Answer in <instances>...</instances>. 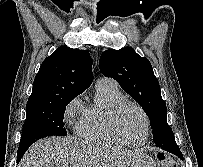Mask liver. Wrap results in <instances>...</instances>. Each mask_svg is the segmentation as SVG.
<instances>
[{"label": "liver", "instance_id": "6515ba94", "mask_svg": "<svg viewBox=\"0 0 203 167\" xmlns=\"http://www.w3.org/2000/svg\"><path fill=\"white\" fill-rule=\"evenodd\" d=\"M19 167H152L143 155L92 145L71 137H49L34 143Z\"/></svg>", "mask_w": 203, "mask_h": 167}]
</instances>
